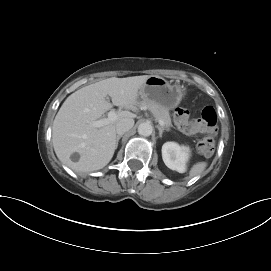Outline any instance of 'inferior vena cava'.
Segmentation results:
<instances>
[{
    "mask_svg": "<svg viewBox=\"0 0 271 271\" xmlns=\"http://www.w3.org/2000/svg\"><path fill=\"white\" fill-rule=\"evenodd\" d=\"M134 125L132 118H123L116 124V132L118 135H123L125 132L130 130Z\"/></svg>",
    "mask_w": 271,
    "mask_h": 271,
    "instance_id": "inferior-vena-cava-1",
    "label": "inferior vena cava"
}]
</instances>
